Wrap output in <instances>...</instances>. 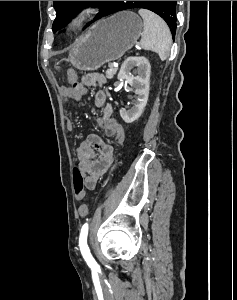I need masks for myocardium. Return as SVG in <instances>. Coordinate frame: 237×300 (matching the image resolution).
<instances>
[{
  "mask_svg": "<svg viewBox=\"0 0 237 300\" xmlns=\"http://www.w3.org/2000/svg\"><path fill=\"white\" fill-rule=\"evenodd\" d=\"M97 12L96 6L90 4L77 9L68 22V30L76 31L88 22Z\"/></svg>",
  "mask_w": 237,
  "mask_h": 300,
  "instance_id": "obj_1",
  "label": "myocardium"
}]
</instances>
